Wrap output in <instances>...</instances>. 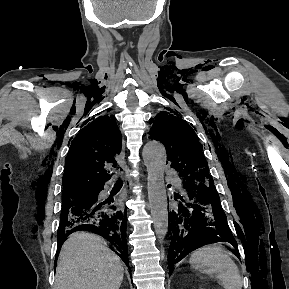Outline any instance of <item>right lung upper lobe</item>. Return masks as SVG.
<instances>
[{"label": "right lung upper lobe", "instance_id": "obj_1", "mask_svg": "<svg viewBox=\"0 0 289 289\" xmlns=\"http://www.w3.org/2000/svg\"><path fill=\"white\" fill-rule=\"evenodd\" d=\"M120 151L121 133L114 117L100 116L88 123L68 151L63 196L93 191L104 185L111 177L105 166L116 167L115 155Z\"/></svg>", "mask_w": 289, "mask_h": 289}]
</instances>
